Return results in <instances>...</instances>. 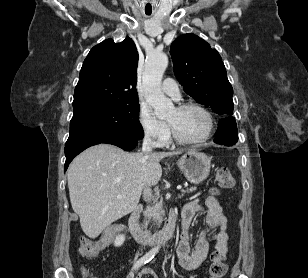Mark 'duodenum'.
Returning <instances> with one entry per match:
<instances>
[{
	"label": "duodenum",
	"mask_w": 308,
	"mask_h": 278,
	"mask_svg": "<svg viewBox=\"0 0 308 278\" xmlns=\"http://www.w3.org/2000/svg\"><path fill=\"white\" fill-rule=\"evenodd\" d=\"M142 212V207H136L131 213L128 221L129 229L134 237V239L142 244L150 245V246H158L167 240H169L175 233L176 229V216L175 214H171L165 226L156 233H150L145 231L140 226V215Z\"/></svg>",
	"instance_id": "obj_1"
}]
</instances>
